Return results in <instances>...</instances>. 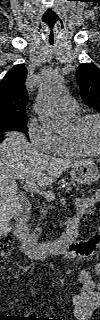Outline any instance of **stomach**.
<instances>
[{"mask_svg":"<svg viewBox=\"0 0 100 320\" xmlns=\"http://www.w3.org/2000/svg\"><path fill=\"white\" fill-rule=\"evenodd\" d=\"M70 176L78 184L90 185L100 178V170L94 161L82 160L71 167Z\"/></svg>","mask_w":100,"mask_h":320,"instance_id":"obj_1","label":"stomach"}]
</instances>
